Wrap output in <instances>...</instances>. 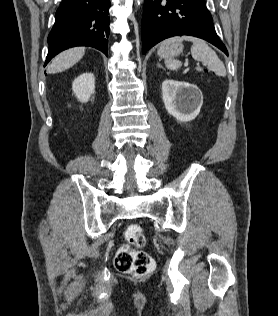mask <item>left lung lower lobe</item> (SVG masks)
<instances>
[{"label": "left lung lower lobe", "instance_id": "left-lung-lower-lobe-1", "mask_svg": "<svg viewBox=\"0 0 278 316\" xmlns=\"http://www.w3.org/2000/svg\"><path fill=\"white\" fill-rule=\"evenodd\" d=\"M143 54L173 36H194L227 49L216 34L205 0H145L142 17Z\"/></svg>", "mask_w": 278, "mask_h": 316}]
</instances>
